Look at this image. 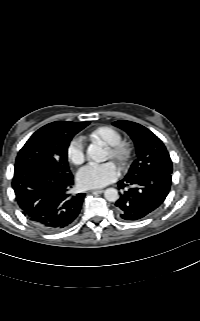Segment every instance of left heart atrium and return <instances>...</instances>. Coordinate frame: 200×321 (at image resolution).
I'll return each mask as SVG.
<instances>
[{"instance_id": "left-heart-atrium-1", "label": "left heart atrium", "mask_w": 200, "mask_h": 321, "mask_svg": "<svg viewBox=\"0 0 200 321\" xmlns=\"http://www.w3.org/2000/svg\"><path fill=\"white\" fill-rule=\"evenodd\" d=\"M118 170L114 163H91L81 168L77 174V180L83 188H100L115 181Z\"/></svg>"}]
</instances>
